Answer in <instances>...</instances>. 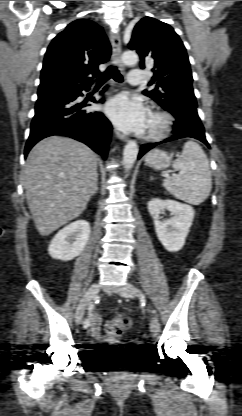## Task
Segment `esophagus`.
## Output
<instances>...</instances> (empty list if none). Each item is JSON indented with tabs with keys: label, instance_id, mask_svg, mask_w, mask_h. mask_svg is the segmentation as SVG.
<instances>
[{
	"label": "esophagus",
	"instance_id": "34e87169",
	"mask_svg": "<svg viewBox=\"0 0 242 416\" xmlns=\"http://www.w3.org/2000/svg\"><path fill=\"white\" fill-rule=\"evenodd\" d=\"M110 40L113 47V60L114 62L119 66L121 70L124 69V66L121 61V40L118 34L111 32L110 33ZM115 134L117 138H119L121 141L127 142L129 138L119 131H115Z\"/></svg>",
	"mask_w": 242,
	"mask_h": 416
}]
</instances>
